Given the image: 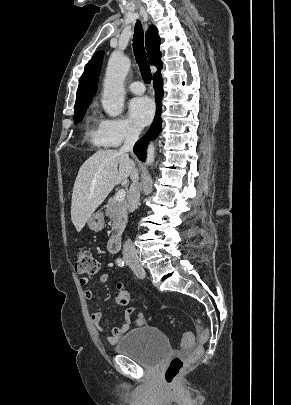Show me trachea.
Instances as JSON below:
<instances>
[{
    "mask_svg": "<svg viewBox=\"0 0 291 405\" xmlns=\"http://www.w3.org/2000/svg\"><path fill=\"white\" fill-rule=\"evenodd\" d=\"M133 50H134V55L137 61V64L140 68L141 75L144 79V81L148 84L151 83V70L149 63L147 61L146 57V52L144 48V32L142 29V25L140 24V21L138 20L136 25H135V33H134V38H133Z\"/></svg>",
    "mask_w": 291,
    "mask_h": 405,
    "instance_id": "obj_1",
    "label": "trachea"
}]
</instances>
